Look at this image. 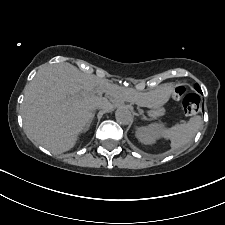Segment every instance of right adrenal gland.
Segmentation results:
<instances>
[{
	"mask_svg": "<svg viewBox=\"0 0 225 225\" xmlns=\"http://www.w3.org/2000/svg\"><path fill=\"white\" fill-rule=\"evenodd\" d=\"M94 116H95V112H93V116H92V119L91 121L87 124V126L85 127L84 131H87L92 123V121L94 120Z\"/></svg>",
	"mask_w": 225,
	"mask_h": 225,
	"instance_id": "2a0ac1e0",
	"label": "right adrenal gland"
}]
</instances>
